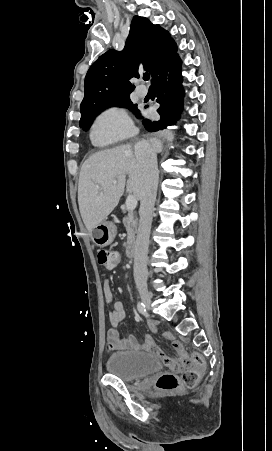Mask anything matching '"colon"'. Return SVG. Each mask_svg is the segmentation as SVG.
Returning <instances> with one entry per match:
<instances>
[{
    "label": "colon",
    "instance_id": "colon-1",
    "mask_svg": "<svg viewBox=\"0 0 272 451\" xmlns=\"http://www.w3.org/2000/svg\"><path fill=\"white\" fill-rule=\"evenodd\" d=\"M101 266H117L120 263L118 252L102 250L96 255ZM177 344L174 345L176 347ZM165 367H172V372L163 373L156 381V387L161 391L170 392L180 388L177 374H183L182 384L186 387L194 385L198 379L197 374H204L205 358H194L193 355L183 354L180 350L176 358H163Z\"/></svg>",
    "mask_w": 272,
    "mask_h": 451
}]
</instances>
